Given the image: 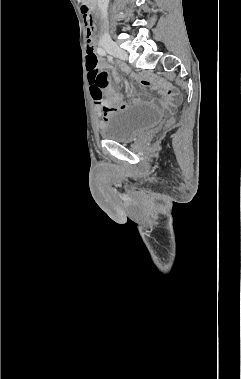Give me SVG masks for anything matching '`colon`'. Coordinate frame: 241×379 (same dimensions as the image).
Segmentation results:
<instances>
[{"label": "colon", "instance_id": "5ec220e1", "mask_svg": "<svg viewBox=\"0 0 241 379\" xmlns=\"http://www.w3.org/2000/svg\"><path fill=\"white\" fill-rule=\"evenodd\" d=\"M83 13H86L85 8H83ZM86 37L88 43L86 56L88 70L86 75L88 82H90V89H93L95 97L101 102L105 109L113 110L115 109V105L104 97L103 89L107 85V76L104 72H101L98 69V58L93 48L92 33L90 28L87 29Z\"/></svg>", "mask_w": 241, "mask_h": 379}]
</instances>
